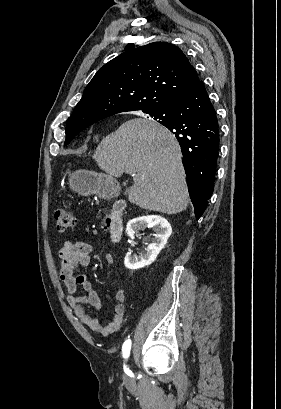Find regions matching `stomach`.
Wrapping results in <instances>:
<instances>
[{"instance_id": "0dacf381", "label": "stomach", "mask_w": 281, "mask_h": 409, "mask_svg": "<svg viewBox=\"0 0 281 409\" xmlns=\"http://www.w3.org/2000/svg\"><path fill=\"white\" fill-rule=\"evenodd\" d=\"M69 186L78 194H97L99 198H116L121 186L112 176L95 170H75L69 174Z\"/></svg>"}]
</instances>
